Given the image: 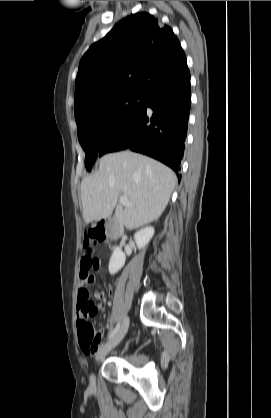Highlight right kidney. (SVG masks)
Listing matches in <instances>:
<instances>
[{
  "label": "right kidney",
  "mask_w": 271,
  "mask_h": 418,
  "mask_svg": "<svg viewBox=\"0 0 271 418\" xmlns=\"http://www.w3.org/2000/svg\"><path fill=\"white\" fill-rule=\"evenodd\" d=\"M154 228L151 226L145 227L137 231L134 235L135 243L138 249H143L151 240L154 235ZM126 256L122 249L117 247L109 261V272L110 274H116L125 264Z\"/></svg>",
  "instance_id": "obj_1"
}]
</instances>
